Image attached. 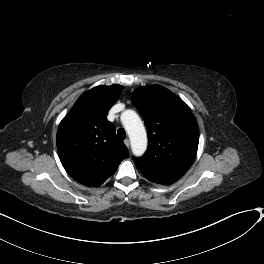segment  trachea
Instances as JSON below:
<instances>
[{"mask_svg":"<svg viewBox=\"0 0 264 264\" xmlns=\"http://www.w3.org/2000/svg\"><path fill=\"white\" fill-rule=\"evenodd\" d=\"M117 135H118L119 139L124 140L126 138V132L123 128H119L117 130Z\"/></svg>","mask_w":264,"mask_h":264,"instance_id":"3493384b","label":"trachea"}]
</instances>
